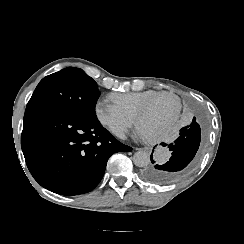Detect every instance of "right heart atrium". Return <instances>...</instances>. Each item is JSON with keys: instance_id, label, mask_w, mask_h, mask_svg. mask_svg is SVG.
I'll use <instances>...</instances> for the list:
<instances>
[{"instance_id": "right-heart-atrium-1", "label": "right heart atrium", "mask_w": 244, "mask_h": 244, "mask_svg": "<svg viewBox=\"0 0 244 244\" xmlns=\"http://www.w3.org/2000/svg\"><path fill=\"white\" fill-rule=\"evenodd\" d=\"M98 120L106 125L117 137H124L129 130H140L145 136H150L151 131L140 126L139 118L134 111L117 105L108 99L99 100L95 106Z\"/></svg>"}]
</instances>
